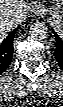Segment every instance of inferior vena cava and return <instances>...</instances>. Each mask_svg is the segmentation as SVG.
Listing matches in <instances>:
<instances>
[{"label":"inferior vena cava","mask_w":63,"mask_h":107,"mask_svg":"<svg viewBox=\"0 0 63 107\" xmlns=\"http://www.w3.org/2000/svg\"><path fill=\"white\" fill-rule=\"evenodd\" d=\"M17 16L13 15L11 16L9 19H8V22L11 24V25H14L16 22H17Z\"/></svg>","instance_id":"602c4592"}]
</instances>
